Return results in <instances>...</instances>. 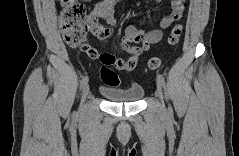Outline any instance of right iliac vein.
<instances>
[{
  "label": "right iliac vein",
  "mask_w": 239,
  "mask_h": 156,
  "mask_svg": "<svg viewBox=\"0 0 239 156\" xmlns=\"http://www.w3.org/2000/svg\"><path fill=\"white\" fill-rule=\"evenodd\" d=\"M89 92H90L89 85L86 84V85L83 87V90H82L81 103H83V102L86 100V98H87Z\"/></svg>",
  "instance_id": "obj_1"
}]
</instances>
